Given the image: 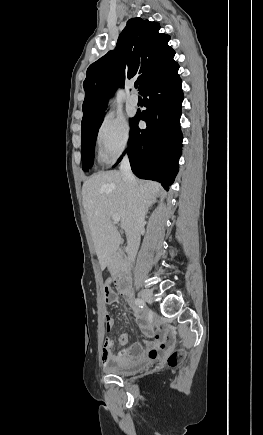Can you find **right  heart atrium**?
Returning <instances> with one entry per match:
<instances>
[{"mask_svg":"<svg viewBox=\"0 0 263 435\" xmlns=\"http://www.w3.org/2000/svg\"><path fill=\"white\" fill-rule=\"evenodd\" d=\"M95 139L100 160L105 164L114 163L129 147V125L124 118L108 114L102 119Z\"/></svg>","mask_w":263,"mask_h":435,"instance_id":"right-heart-atrium-1","label":"right heart atrium"}]
</instances>
